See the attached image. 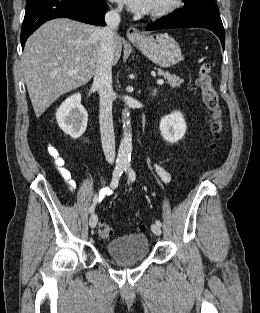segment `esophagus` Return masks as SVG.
<instances>
[{"mask_svg":"<svg viewBox=\"0 0 260 313\" xmlns=\"http://www.w3.org/2000/svg\"><path fill=\"white\" fill-rule=\"evenodd\" d=\"M127 37L130 41H138L142 38V33L135 27H129L127 30Z\"/></svg>","mask_w":260,"mask_h":313,"instance_id":"esophagus-1","label":"esophagus"}]
</instances>
